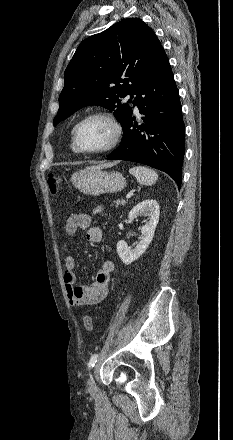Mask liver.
<instances>
[{"instance_id": "obj_1", "label": "liver", "mask_w": 233, "mask_h": 440, "mask_svg": "<svg viewBox=\"0 0 233 440\" xmlns=\"http://www.w3.org/2000/svg\"><path fill=\"white\" fill-rule=\"evenodd\" d=\"M112 165H114V163H106V164L97 165L95 166V168L102 169L103 167H111Z\"/></svg>"}]
</instances>
